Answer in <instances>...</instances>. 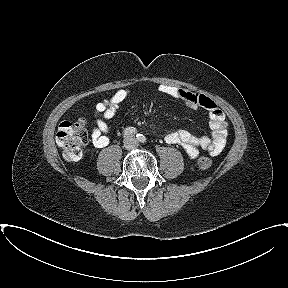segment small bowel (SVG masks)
<instances>
[{"label": "small bowel", "mask_w": 288, "mask_h": 288, "mask_svg": "<svg viewBox=\"0 0 288 288\" xmlns=\"http://www.w3.org/2000/svg\"><path fill=\"white\" fill-rule=\"evenodd\" d=\"M158 90L165 95L182 100L185 106L190 109H205L208 113L212 130L210 137L197 136L187 130L171 132L165 136L167 143L180 145L191 159H195L199 155L200 150L207 151L212 156H216L223 151L227 140L228 122L223 111L211 98L171 85H160ZM129 95L130 91L128 89H121L109 99L96 104L94 109V127L91 131V139L95 147L103 148L109 144V126L107 121L115 116Z\"/></svg>", "instance_id": "small-bowel-1"}]
</instances>
